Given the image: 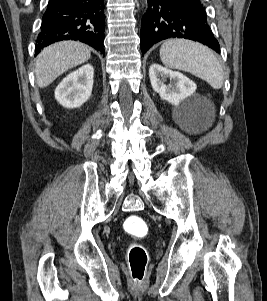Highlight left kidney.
Wrapping results in <instances>:
<instances>
[{
    "label": "left kidney",
    "instance_id": "left-kidney-1",
    "mask_svg": "<svg viewBox=\"0 0 267 301\" xmlns=\"http://www.w3.org/2000/svg\"><path fill=\"white\" fill-rule=\"evenodd\" d=\"M149 77L152 88L161 99L172 105H177L184 98L192 95L196 84L180 72L172 71L159 64H152L149 68ZM167 78L174 81V85H166Z\"/></svg>",
    "mask_w": 267,
    "mask_h": 301
}]
</instances>
